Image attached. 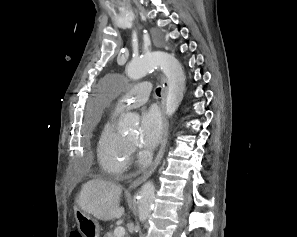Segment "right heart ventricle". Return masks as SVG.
Here are the masks:
<instances>
[{
	"label": "right heart ventricle",
	"mask_w": 297,
	"mask_h": 237,
	"mask_svg": "<svg viewBox=\"0 0 297 237\" xmlns=\"http://www.w3.org/2000/svg\"><path fill=\"white\" fill-rule=\"evenodd\" d=\"M116 113L104 123L98 143L97 160L100 168L110 176L122 174L131 163L132 149L120 133L115 129Z\"/></svg>",
	"instance_id": "right-heart-ventricle-1"
}]
</instances>
